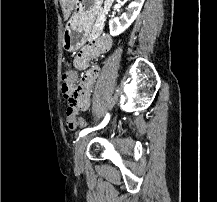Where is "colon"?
Returning a JSON list of instances; mask_svg holds the SVG:
<instances>
[{
  "label": "colon",
  "instance_id": "5ec220e1",
  "mask_svg": "<svg viewBox=\"0 0 217 202\" xmlns=\"http://www.w3.org/2000/svg\"><path fill=\"white\" fill-rule=\"evenodd\" d=\"M78 79L79 75L75 71H70L64 75L62 85V93L68 102L69 111L66 117V124L72 130H74V126L72 125L74 120L72 116L73 110L80 109L81 102H89V96H80L84 95V90H76V88H81L75 87V82H78ZM78 126L79 128H85L87 126L83 117L78 120Z\"/></svg>",
  "mask_w": 217,
  "mask_h": 202
}]
</instances>
